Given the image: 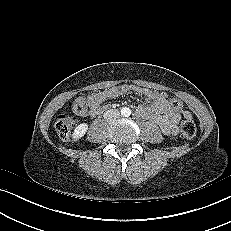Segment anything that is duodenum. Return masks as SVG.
I'll use <instances>...</instances> for the list:
<instances>
[{"label":"duodenum","mask_w":231,"mask_h":231,"mask_svg":"<svg viewBox=\"0 0 231 231\" xmlns=\"http://www.w3.org/2000/svg\"><path fill=\"white\" fill-rule=\"evenodd\" d=\"M106 109H108V107H105L103 110H106Z\"/></svg>","instance_id":"obj_1"}]
</instances>
